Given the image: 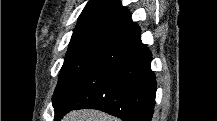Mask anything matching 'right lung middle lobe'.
Returning <instances> with one entry per match:
<instances>
[{"instance_id":"right-lung-middle-lobe-1","label":"right lung middle lobe","mask_w":217,"mask_h":121,"mask_svg":"<svg viewBox=\"0 0 217 121\" xmlns=\"http://www.w3.org/2000/svg\"><path fill=\"white\" fill-rule=\"evenodd\" d=\"M127 24L97 22L74 29L64 64L60 70L54 97L82 75L124 30Z\"/></svg>"}]
</instances>
